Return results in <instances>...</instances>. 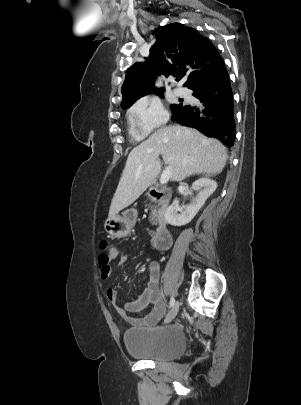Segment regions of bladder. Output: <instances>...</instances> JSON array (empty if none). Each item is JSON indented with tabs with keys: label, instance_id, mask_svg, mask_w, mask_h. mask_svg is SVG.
<instances>
[{
	"label": "bladder",
	"instance_id": "1",
	"mask_svg": "<svg viewBox=\"0 0 301 405\" xmlns=\"http://www.w3.org/2000/svg\"><path fill=\"white\" fill-rule=\"evenodd\" d=\"M123 339L131 356L153 361L174 360L187 345L184 331L175 325L130 328Z\"/></svg>",
	"mask_w": 301,
	"mask_h": 405
}]
</instances>
